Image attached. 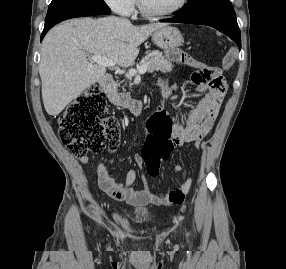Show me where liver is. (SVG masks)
Segmentation results:
<instances>
[{
    "label": "liver",
    "instance_id": "liver-1",
    "mask_svg": "<svg viewBox=\"0 0 286 269\" xmlns=\"http://www.w3.org/2000/svg\"><path fill=\"white\" fill-rule=\"evenodd\" d=\"M167 26L151 23L134 26L117 17L76 18L52 28L42 42L39 74L46 112L58 115L85 89L101 80L106 67L89 56L105 55L122 67L134 63L139 45Z\"/></svg>",
    "mask_w": 286,
    "mask_h": 269
}]
</instances>
